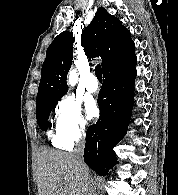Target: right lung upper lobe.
Instances as JSON below:
<instances>
[{
    "label": "right lung upper lobe",
    "instance_id": "obj_1",
    "mask_svg": "<svg viewBox=\"0 0 178 195\" xmlns=\"http://www.w3.org/2000/svg\"><path fill=\"white\" fill-rule=\"evenodd\" d=\"M73 34L64 31L46 51L36 106L60 100L68 91L67 73L73 58ZM81 45L88 58L101 57L103 75L124 69L134 62V42L130 32L105 8H98L91 23L82 31Z\"/></svg>",
    "mask_w": 178,
    "mask_h": 195
}]
</instances>
